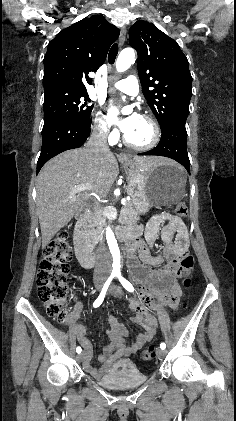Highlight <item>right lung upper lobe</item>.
I'll return each instance as SVG.
<instances>
[{
  "instance_id": "right-lung-upper-lobe-1",
  "label": "right lung upper lobe",
  "mask_w": 236,
  "mask_h": 421,
  "mask_svg": "<svg viewBox=\"0 0 236 421\" xmlns=\"http://www.w3.org/2000/svg\"><path fill=\"white\" fill-rule=\"evenodd\" d=\"M119 30L104 17L93 15L63 29L48 45L44 57V88L86 90L88 73L105 61Z\"/></svg>"
}]
</instances>
